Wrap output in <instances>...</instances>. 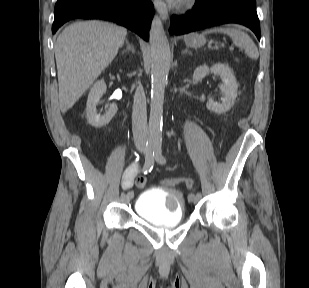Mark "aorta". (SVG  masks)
Returning a JSON list of instances; mask_svg holds the SVG:
<instances>
[{"label": "aorta", "instance_id": "aorta-1", "mask_svg": "<svg viewBox=\"0 0 309 288\" xmlns=\"http://www.w3.org/2000/svg\"><path fill=\"white\" fill-rule=\"evenodd\" d=\"M151 49V103L149 117V137L154 140L162 137V114L164 92L170 69V47L162 21L155 15L149 31Z\"/></svg>", "mask_w": 309, "mask_h": 288}]
</instances>
